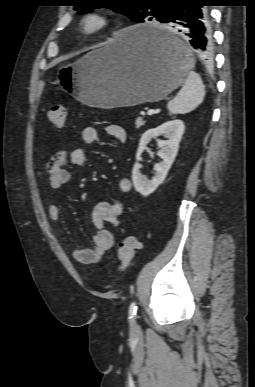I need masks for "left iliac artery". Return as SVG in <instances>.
<instances>
[{"instance_id": "1", "label": "left iliac artery", "mask_w": 255, "mask_h": 387, "mask_svg": "<svg viewBox=\"0 0 255 387\" xmlns=\"http://www.w3.org/2000/svg\"><path fill=\"white\" fill-rule=\"evenodd\" d=\"M137 315V305L135 302H132L129 307V319L134 320Z\"/></svg>"}]
</instances>
